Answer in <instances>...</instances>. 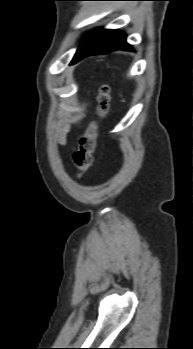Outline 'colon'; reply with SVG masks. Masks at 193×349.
Returning <instances> with one entry per match:
<instances>
[{"label": "colon", "mask_w": 193, "mask_h": 349, "mask_svg": "<svg viewBox=\"0 0 193 349\" xmlns=\"http://www.w3.org/2000/svg\"><path fill=\"white\" fill-rule=\"evenodd\" d=\"M110 105V89L108 85L101 86L96 100L98 119L93 121L79 140L78 148L73 154V161L79 176L84 175L93 162L97 144L99 122L107 115Z\"/></svg>", "instance_id": "colon-1"}]
</instances>
